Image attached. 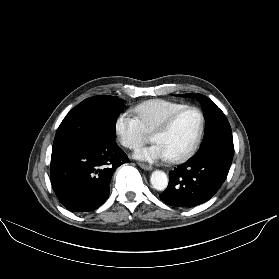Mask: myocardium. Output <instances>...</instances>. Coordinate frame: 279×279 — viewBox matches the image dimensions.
Here are the masks:
<instances>
[{
  "label": "myocardium",
  "instance_id": "1",
  "mask_svg": "<svg viewBox=\"0 0 279 279\" xmlns=\"http://www.w3.org/2000/svg\"><path fill=\"white\" fill-rule=\"evenodd\" d=\"M195 111L198 114L199 117V127L196 133V136L192 142V144L190 145V147L182 154L175 156V157H170L168 158L170 162L172 163H180V162H184L185 160L189 159L196 151V149L198 148L202 135H203V131H204V126H205V121H204V115L202 113V111L195 107V106H189L186 105L174 112H172L154 131L152 136L158 135V134H163L165 132H167L170 127L172 126V124L174 123L175 119L182 114L185 111Z\"/></svg>",
  "mask_w": 279,
  "mask_h": 279
}]
</instances>
